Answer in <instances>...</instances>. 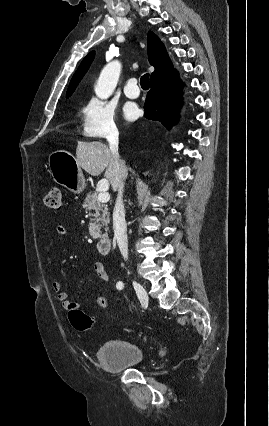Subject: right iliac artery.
<instances>
[{
    "mask_svg": "<svg viewBox=\"0 0 269 426\" xmlns=\"http://www.w3.org/2000/svg\"><path fill=\"white\" fill-rule=\"evenodd\" d=\"M122 287H123V285H122V284H120V283H118L117 288H118V289H121Z\"/></svg>",
    "mask_w": 269,
    "mask_h": 426,
    "instance_id": "82829eb1",
    "label": "right iliac artery"
}]
</instances>
